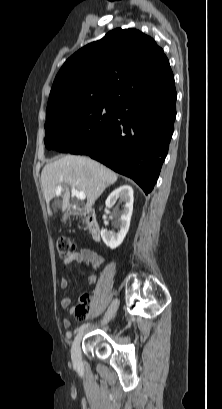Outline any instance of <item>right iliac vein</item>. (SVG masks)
<instances>
[{
	"instance_id": "1",
	"label": "right iliac vein",
	"mask_w": 222,
	"mask_h": 409,
	"mask_svg": "<svg viewBox=\"0 0 222 409\" xmlns=\"http://www.w3.org/2000/svg\"><path fill=\"white\" fill-rule=\"evenodd\" d=\"M118 305H119V301L117 299L112 301V303L109 306V308H108V310H107V312L105 314V317L103 319V322H102L103 324L108 323L112 319V317L114 316V314H115V312H116V310L118 308ZM83 334H84L83 331L79 332L76 335V337H75V339H74V341L72 343V346H71V357H72V360L75 363L80 360V355H81L80 354V343H81Z\"/></svg>"
}]
</instances>
